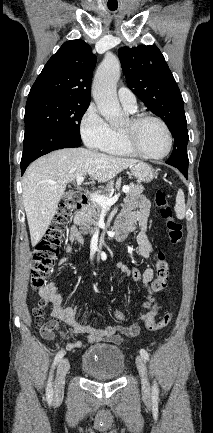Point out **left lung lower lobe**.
Segmentation results:
<instances>
[{"mask_svg": "<svg viewBox=\"0 0 213 433\" xmlns=\"http://www.w3.org/2000/svg\"><path fill=\"white\" fill-rule=\"evenodd\" d=\"M166 163H168V164H170V165L178 168L183 173V175L187 178L188 166H183V165H180V164H175V163H172L170 161H167Z\"/></svg>", "mask_w": 213, "mask_h": 433, "instance_id": "0a47b994", "label": "left lung lower lobe"}]
</instances>
